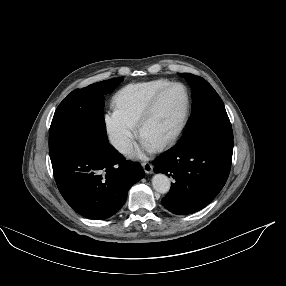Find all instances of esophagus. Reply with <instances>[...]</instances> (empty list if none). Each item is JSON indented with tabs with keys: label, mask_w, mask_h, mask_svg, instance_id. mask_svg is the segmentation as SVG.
I'll use <instances>...</instances> for the list:
<instances>
[{
	"label": "esophagus",
	"mask_w": 286,
	"mask_h": 286,
	"mask_svg": "<svg viewBox=\"0 0 286 286\" xmlns=\"http://www.w3.org/2000/svg\"><path fill=\"white\" fill-rule=\"evenodd\" d=\"M145 173L152 174L153 173V165L149 162L142 164Z\"/></svg>",
	"instance_id": "obj_1"
}]
</instances>
